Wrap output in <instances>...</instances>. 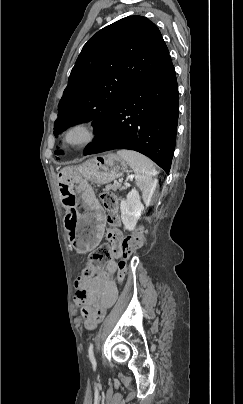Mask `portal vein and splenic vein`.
Returning <instances> with one entry per match:
<instances>
[{
	"instance_id": "portal-vein-and-splenic-vein-1",
	"label": "portal vein and splenic vein",
	"mask_w": 243,
	"mask_h": 404,
	"mask_svg": "<svg viewBox=\"0 0 243 404\" xmlns=\"http://www.w3.org/2000/svg\"><path fill=\"white\" fill-rule=\"evenodd\" d=\"M129 180L125 182L126 186H130L132 182L135 181L134 175L133 174H129L128 175Z\"/></svg>"
}]
</instances>
